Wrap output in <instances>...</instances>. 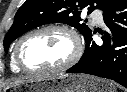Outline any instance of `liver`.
Here are the masks:
<instances>
[{
  "mask_svg": "<svg viewBox=\"0 0 127 92\" xmlns=\"http://www.w3.org/2000/svg\"><path fill=\"white\" fill-rule=\"evenodd\" d=\"M41 78H45V76H42V77H31L29 79L14 80L13 82L10 83V86L19 85V84H22L24 82H28V81H32V80H36V79H41Z\"/></svg>",
  "mask_w": 127,
  "mask_h": 92,
  "instance_id": "1",
  "label": "liver"
}]
</instances>
